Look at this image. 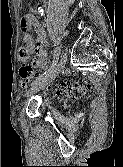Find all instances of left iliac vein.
Listing matches in <instances>:
<instances>
[{"mask_svg": "<svg viewBox=\"0 0 123 167\" xmlns=\"http://www.w3.org/2000/svg\"><path fill=\"white\" fill-rule=\"evenodd\" d=\"M67 52L64 51L61 55V58L58 62V64L54 67V69L49 72L47 75H45L41 80L37 81L33 86L27 91L25 94L26 97H29L38 91L44 89L49 83L52 82V80L63 70L65 67V64L67 62Z\"/></svg>", "mask_w": 123, "mask_h": 167, "instance_id": "1", "label": "left iliac vein"}]
</instances>
